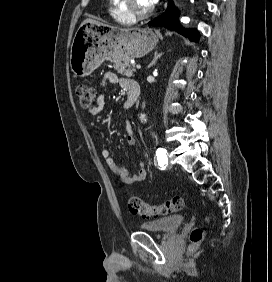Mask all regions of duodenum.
<instances>
[{
    "mask_svg": "<svg viewBox=\"0 0 272 282\" xmlns=\"http://www.w3.org/2000/svg\"><path fill=\"white\" fill-rule=\"evenodd\" d=\"M126 91H127V99L124 102V108L128 109L132 107L140 96V85L136 80L133 79H124Z\"/></svg>",
    "mask_w": 272,
    "mask_h": 282,
    "instance_id": "duodenum-1",
    "label": "duodenum"
}]
</instances>
